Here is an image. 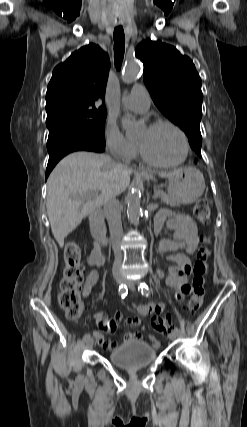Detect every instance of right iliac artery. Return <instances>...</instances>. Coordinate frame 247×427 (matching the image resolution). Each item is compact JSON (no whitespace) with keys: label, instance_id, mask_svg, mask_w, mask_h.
<instances>
[{"label":"right iliac artery","instance_id":"obj_1","mask_svg":"<svg viewBox=\"0 0 247 427\" xmlns=\"http://www.w3.org/2000/svg\"><path fill=\"white\" fill-rule=\"evenodd\" d=\"M118 292H119V295L122 297V298H125V296L127 295V293H128V290H127V286L126 285H124V284H121L120 286H119V290H118ZM90 338V334L89 333H87V334H85L84 335V337H83V341H87L88 339Z\"/></svg>","mask_w":247,"mask_h":427}]
</instances>
